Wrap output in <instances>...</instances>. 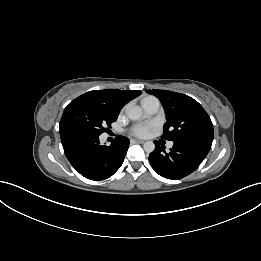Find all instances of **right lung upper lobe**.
Wrapping results in <instances>:
<instances>
[{
    "label": "right lung upper lobe",
    "instance_id": "right-lung-upper-lobe-1",
    "mask_svg": "<svg viewBox=\"0 0 261 261\" xmlns=\"http://www.w3.org/2000/svg\"><path fill=\"white\" fill-rule=\"evenodd\" d=\"M141 93L142 92L139 90L105 89L92 90L81 96L96 99L111 111L119 114L120 110L126 103L139 96Z\"/></svg>",
    "mask_w": 261,
    "mask_h": 261
}]
</instances>
